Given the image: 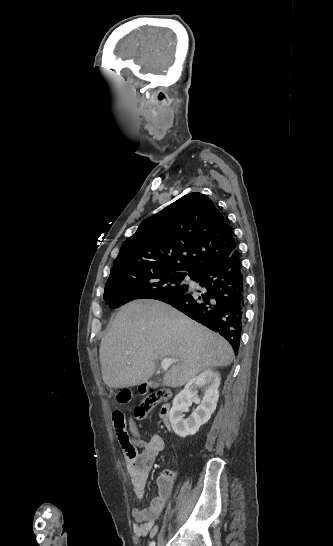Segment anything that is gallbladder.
<instances>
[{
    "instance_id": "obj_1",
    "label": "gallbladder",
    "mask_w": 333,
    "mask_h": 546,
    "mask_svg": "<svg viewBox=\"0 0 333 546\" xmlns=\"http://www.w3.org/2000/svg\"><path fill=\"white\" fill-rule=\"evenodd\" d=\"M158 385H159V384H158V381H151V382H150V387H153V388H154V387H158Z\"/></svg>"
}]
</instances>
